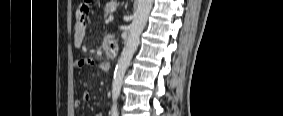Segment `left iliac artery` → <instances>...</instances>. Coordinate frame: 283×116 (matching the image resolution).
<instances>
[{
	"mask_svg": "<svg viewBox=\"0 0 283 116\" xmlns=\"http://www.w3.org/2000/svg\"><path fill=\"white\" fill-rule=\"evenodd\" d=\"M118 115H119V111H118V108H117V104L114 103L113 106H112L111 116H118Z\"/></svg>",
	"mask_w": 283,
	"mask_h": 116,
	"instance_id": "44dca946",
	"label": "left iliac artery"
}]
</instances>
